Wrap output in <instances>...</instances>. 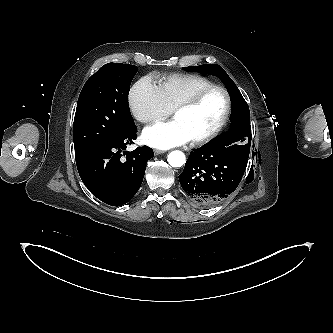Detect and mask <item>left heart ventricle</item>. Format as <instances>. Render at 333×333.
<instances>
[{
    "label": "left heart ventricle",
    "mask_w": 333,
    "mask_h": 333,
    "mask_svg": "<svg viewBox=\"0 0 333 333\" xmlns=\"http://www.w3.org/2000/svg\"><path fill=\"white\" fill-rule=\"evenodd\" d=\"M225 107L224 95L219 91H214L196 107L178 112L174 116V120L183 126L192 141L208 134L218 125Z\"/></svg>",
    "instance_id": "b2bd125f"
}]
</instances>
